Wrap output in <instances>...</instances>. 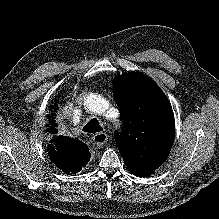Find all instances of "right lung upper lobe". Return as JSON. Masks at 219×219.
<instances>
[{"instance_id":"cb5924a9","label":"right lung upper lobe","mask_w":219,"mask_h":219,"mask_svg":"<svg viewBox=\"0 0 219 219\" xmlns=\"http://www.w3.org/2000/svg\"><path fill=\"white\" fill-rule=\"evenodd\" d=\"M56 103H58L56 101ZM51 105L50 109H54ZM55 114L48 116L49 124L47 125V132L50 134H57L55 123ZM51 161L66 173H78L82 166H85L90 157L89 149L86 144L80 140L72 139L66 136H56L51 140V144L47 146Z\"/></svg>"}]
</instances>
